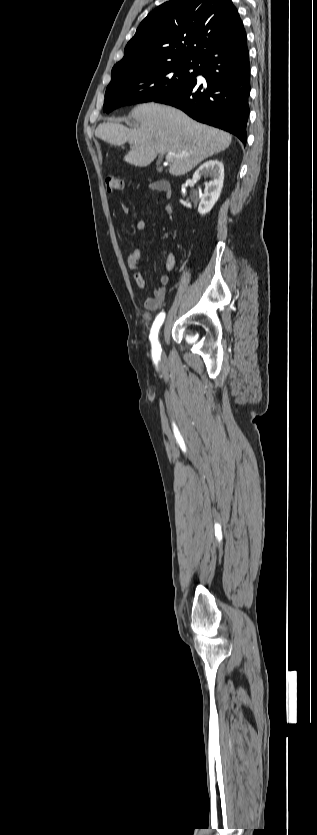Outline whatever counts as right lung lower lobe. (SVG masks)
<instances>
[{
	"label": "right lung lower lobe",
	"mask_w": 317,
	"mask_h": 835,
	"mask_svg": "<svg viewBox=\"0 0 317 835\" xmlns=\"http://www.w3.org/2000/svg\"><path fill=\"white\" fill-rule=\"evenodd\" d=\"M197 79L176 87L154 102L175 106L193 119L226 130L246 144L249 116L250 64L247 38L204 54L198 60Z\"/></svg>",
	"instance_id": "1"
}]
</instances>
